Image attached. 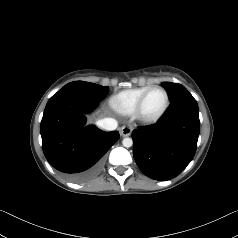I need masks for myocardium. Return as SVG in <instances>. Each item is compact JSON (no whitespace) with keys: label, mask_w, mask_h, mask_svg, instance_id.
Returning <instances> with one entry per match:
<instances>
[{"label":"myocardium","mask_w":238,"mask_h":238,"mask_svg":"<svg viewBox=\"0 0 238 238\" xmlns=\"http://www.w3.org/2000/svg\"><path fill=\"white\" fill-rule=\"evenodd\" d=\"M154 89H160V90L163 91V93L165 95V105H164L163 109L157 115H155V116H146L143 113V106H144V103H145V100H146L147 96ZM169 105H170V97H169L168 91L163 86L154 85V86H150L141 95V97L139 98V100H138V102L136 104V107L134 109L133 114H134V117L139 122L144 123V124H152V123H155V122L159 121L164 116V114L167 112V110L169 108Z\"/></svg>","instance_id":"obj_1"}]
</instances>
